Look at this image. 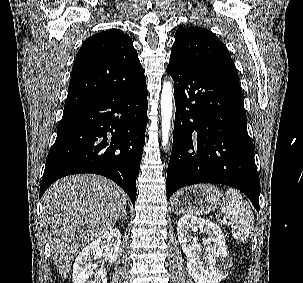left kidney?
Listing matches in <instances>:
<instances>
[{
  "label": "left kidney",
  "mask_w": 303,
  "mask_h": 283,
  "mask_svg": "<svg viewBox=\"0 0 303 283\" xmlns=\"http://www.w3.org/2000/svg\"><path fill=\"white\" fill-rule=\"evenodd\" d=\"M200 230L207 234V247L201 256V245L191 232ZM177 234L186 254L187 270L195 283H219L226 278L232 263L227 254L225 237L216 224L191 215L181 217Z\"/></svg>",
  "instance_id": "obj_1"
}]
</instances>
